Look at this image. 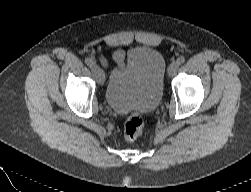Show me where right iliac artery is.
<instances>
[{"mask_svg":"<svg viewBox=\"0 0 251 192\" xmlns=\"http://www.w3.org/2000/svg\"><path fill=\"white\" fill-rule=\"evenodd\" d=\"M85 63H86L88 66L92 67V65H93L95 62H94V60H93L92 58H86V59H85Z\"/></svg>","mask_w":251,"mask_h":192,"instance_id":"82829eb1","label":"right iliac artery"}]
</instances>
